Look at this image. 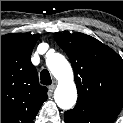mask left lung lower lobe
<instances>
[{"label": "left lung lower lobe", "mask_w": 123, "mask_h": 123, "mask_svg": "<svg viewBox=\"0 0 123 123\" xmlns=\"http://www.w3.org/2000/svg\"><path fill=\"white\" fill-rule=\"evenodd\" d=\"M66 123H113L115 117L76 105L64 114Z\"/></svg>", "instance_id": "0a47b994"}]
</instances>
